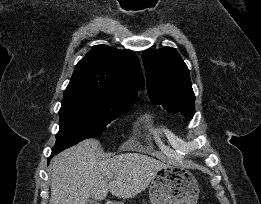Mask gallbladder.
<instances>
[{
  "instance_id": "obj_1",
  "label": "gallbladder",
  "mask_w": 261,
  "mask_h": 204,
  "mask_svg": "<svg viewBox=\"0 0 261 204\" xmlns=\"http://www.w3.org/2000/svg\"><path fill=\"white\" fill-rule=\"evenodd\" d=\"M86 204H99V203L94 199H88Z\"/></svg>"
}]
</instances>
